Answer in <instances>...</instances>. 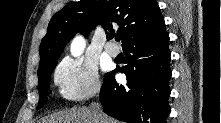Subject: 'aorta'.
I'll return each mask as SVG.
<instances>
[{
    "mask_svg": "<svg viewBox=\"0 0 221 123\" xmlns=\"http://www.w3.org/2000/svg\"><path fill=\"white\" fill-rule=\"evenodd\" d=\"M84 40L82 37H76L71 44V53L73 56H78L84 49Z\"/></svg>",
    "mask_w": 221,
    "mask_h": 123,
    "instance_id": "aorta-1",
    "label": "aorta"
}]
</instances>
